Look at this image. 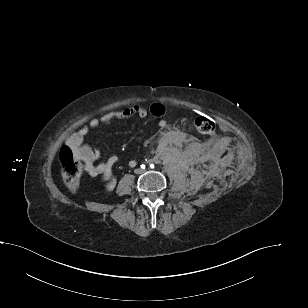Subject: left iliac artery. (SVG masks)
<instances>
[{"label": "left iliac artery", "instance_id": "44dca946", "mask_svg": "<svg viewBox=\"0 0 308 308\" xmlns=\"http://www.w3.org/2000/svg\"><path fill=\"white\" fill-rule=\"evenodd\" d=\"M150 167H151V168H153V167H154V165H153V164H151V165H150Z\"/></svg>", "mask_w": 308, "mask_h": 308}]
</instances>
